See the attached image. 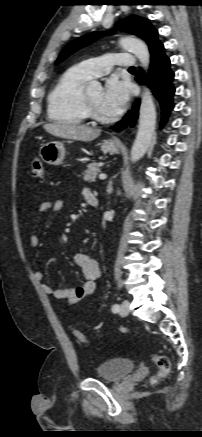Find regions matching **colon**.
Returning <instances> with one entry per match:
<instances>
[{
	"label": "colon",
	"mask_w": 202,
	"mask_h": 437,
	"mask_svg": "<svg viewBox=\"0 0 202 437\" xmlns=\"http://www.w3.org/2000/svg\"><path fill=\"white\" fill-rule=\"evenodd\" d=\"M30 172H31V175L35 178L43 177L44 165H43V162L39 158L34 157L31 160ZM73 334L78 342L83 343V344L87 343V338L81 331L74 330ZM153 362L157 366L158 371L156 374H154L150 378V383L156 384L160 379H162L163 377H165L169 373L171 364H170L169 358L167 356L161 355V354H155L153 356Z\"/></svg>",
	"instance_id": "obj_1"
}]
</instances>
